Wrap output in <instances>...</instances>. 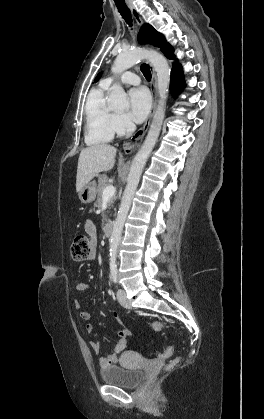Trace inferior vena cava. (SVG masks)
Instances as JSON below:
<instances>
[{
	"mask_svg": "<svg viewBox=\"0 0 264 419\" xmlns=\"http://www.w3.org/2000/svg\"><path fill=\"white\" fill-rule=\"evenodd\" d=\"M126 129H127V136H130L136 130V125L133 122L128 121L126 124Z\"/></svg>",
	"mask_w": 264,
	"mask_h": 419,
	"instance_id": "obj_1",
	"label": "inferior vena cava"
}]
</instances>
